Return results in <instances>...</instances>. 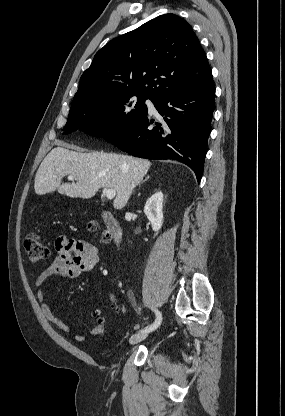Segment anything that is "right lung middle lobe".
Segmentation results:
<instances>
[{"label": "right lung middle lobe", "mask_w": 285, "mask_h": 416, "mask_svg": "<svg viewBox=\"0 0 285 416\" xmlns=\"http://www.w3.org/2000/svg\"><path fill=\"white\" fill-rule=\"evenodd\" d=\"M126 96L92 104L69 112L65 134L81 129L91 136L109 138L117 135L148 114L147 98Z\"/></svg>", "instance_id": "dd1d6c3e"}]
</instances>
